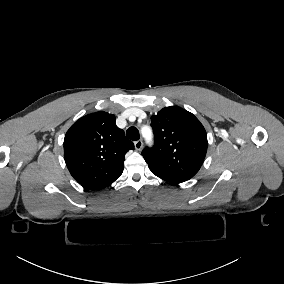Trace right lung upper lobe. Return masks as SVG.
<instances>
[{"instance_id": "obj_1", "label": "right lung upper lobe", "mask_w": 284, "mask_h": 284, "mask_svg": "<svg viewBox=\"0 0 284 284\" xmlns=\"http://www.w3.org/2000/svg\"><path fill=\"white\" fill-rule=\"evenodd\" d=\"M134 149L115 116L104 111L77 120L64 138V159L73 178L87 189L100 190L123 172L125 154Z\"/></svg>"}]
</instances>
